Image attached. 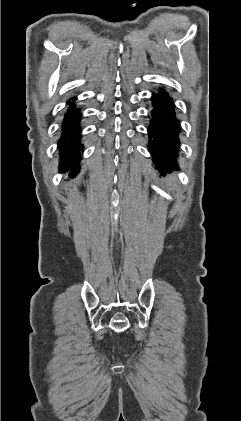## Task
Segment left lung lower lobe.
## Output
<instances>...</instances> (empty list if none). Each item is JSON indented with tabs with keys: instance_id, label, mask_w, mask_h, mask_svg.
<instances>
[{
	"instance_id": "left-lung-lower-lobe-1",
	"label": "left lung lower lobe",
	"mask_w": 241,
	"mask_h": 421,
	"mask_svg": "<svg viewBox=\"0 0 241 421\" xmlns=\"http://www.w3.org/2000/svg\"><path fill=\"white\" fill-rule=\"evenodd\" d=\"M149 135V151L155 158L156 169L164 173L177 168L180 124L173 99L165 90L153 93Z\"/></svg>"
}]
</instances>
